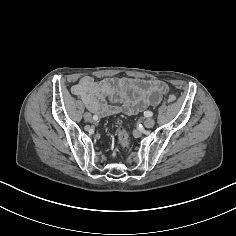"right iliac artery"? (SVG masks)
<instances>
[{"label":"right iliac artery","instance_id":"right-iliac-artery-1","mask_svg":"<svg viewBox=\"0 0 236 236\" xmlns=\"http://www.w3.org/2000/svg\"><path fill=\"white\" fill-rule=\"evenodd\" d=\"M93 120H94V121H97V120H98V117L94 115V116H93Z\"/></svg>","mask_w":236,"mask_h":236}]
</instances>
